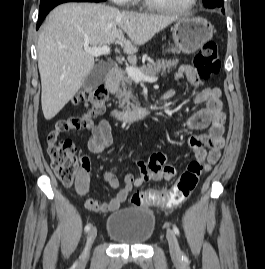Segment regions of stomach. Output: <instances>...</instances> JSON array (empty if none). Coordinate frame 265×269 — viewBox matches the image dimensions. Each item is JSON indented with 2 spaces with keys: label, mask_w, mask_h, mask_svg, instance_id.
I'll return each mask as SVG.
<instances>
[{
  "label": "stomach",
  "mask_w": 265,
  "mask_h": 269,
  "mask_svg": "<svg viewBox=\"0 0 265 269\" xmlns=\"http://www.w3.org/2000/svg\"><path fill=\"white\" fill-rule=\"evenodd\" d=\"M213 33L214 27L202 17L178 18L173 24L172 36L175 47L168 51L194 53L212 38Z\"/></svg>",
  "instance_id": "obj_1"
}]
</instances>
